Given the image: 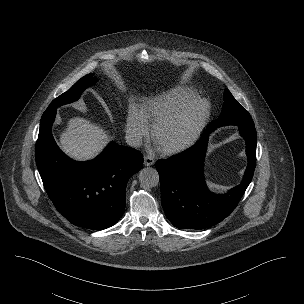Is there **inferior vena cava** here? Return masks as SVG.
<instances>
[{
  "label": "inferior vena cava",
  "mask_w": 304,
  "mask_h": 304,
  "mask_svg": "<svg viewBox=\"0 0 304 304\" xmlns=\"http://www.w3.org/2000/svg\"><path fill=\"white\" fill-rule=\"evenodd\" d=\"M125 140L129 146L135 148L140 147L142 144V136L139 133L133 131L126 133Z\"/></svg>",
  "instance_id": "602c4592"
}]
</instances>
